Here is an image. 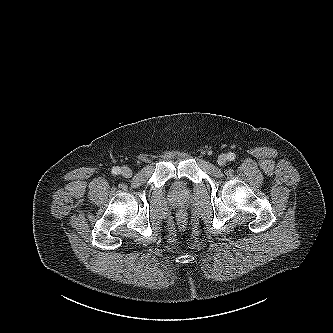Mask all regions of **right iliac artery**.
Returning <instances> with one entry per match:
<instances>
[{
  "mask_svg": "<svg viewBox=\"0 0 333 333\" xmlns=\"http://www.w3.org/2000/svg\"><path fill=\"white\" fill-rule=\"evenodd\" d=\"M112 173L117 175L121 173V169L119 167H113L112 169Z\"/></svg>",
  "mask_w": 333,
  "mask_h": 333,
  "instance_id": "obj_1",
  "label": "right iliac artery"
}]
</instances>
